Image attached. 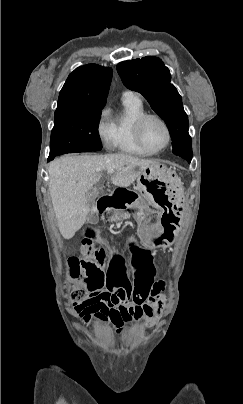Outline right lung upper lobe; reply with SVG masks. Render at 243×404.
Segmentation results:
<instances>
[{
  "instance_id": "obj_1",
  "label": "right lung upper lobe",
  "mask_w": 243,
  "mask_h": 404,
  "mask_svg": "<svg viewBox=\"0 0 243 404\" xmlns=\"http://www.w3.org/2000/svg\"><path fill=\"white\" fill-rule=\"evenodd\" d=\"M112 69L89 64L75 69L60 91L57 109L105 106Z\"/></svg>"
}]
</instances>
